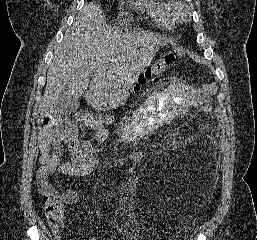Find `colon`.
<instances>
[{"label":"colon","mask_w":257,"mask_h":240,"mask_svg":"<svg viewBox=\"0 0 257 240\" xmlns=\"http://www.w3.org/2000/svg\"><path fill=\"white\" fill-rule=\"evenodd\" d=\"M174 60L175 55L173 53H169L166 54L164 57L158 59L151 65H149L138 77V80L135 83L134 88L138 89L142 85L155 81L158 78V76L174 62ZM202 91L203 94L208 97L215 93L216 87L214 84L209 83L203 87ZM86 116L90 118L89 115ZM91 122L96 123L95 120H92ZM49 123V119L44 120L45 125H48ZM42 202L50 221L58 223L62 215V203L60 199L52 194H44L42 195Z\"/></svg>","instance_id":"5ec220e1"}]
</instances>
